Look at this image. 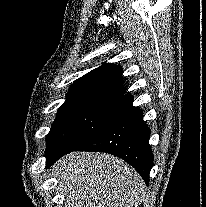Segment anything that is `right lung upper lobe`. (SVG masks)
<instances>
[{
	"label": "right lung upper lobe",
	"mask_w": 206,
	"mask_h": 207,
	"mask_svg": "<svg viewBox=\"0 0 206 207\" xmlns=\"http://www.w3.org/2000/svg\"><path fill=\"white\" fill-rule=\"evenodd\" d=\"M122 68L111 63H104L70 87L67 100L128 97L122 83Z\"/></svg>",
	"instance_id": "obj_1"
}]
</instances>
